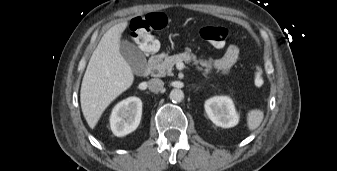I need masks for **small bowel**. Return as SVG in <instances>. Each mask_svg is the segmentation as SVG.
<instances>
[{
	"mask_svg": "<svg viewBox=\"0 0 337 171\" xmlns=\"http://www.w3.org/2000/svg\"><path fill=\"white\" fill-rule=\"evenodd\" d=\"M239 58V48L236 45H230L221 58L216 60L208 58L206 64L210 69H214L222 74H228Z\"/></svg>",
	"mask_w": 337,
	"mask_h": 171,
	"instance_id": "1",
	"label": "small bowel"
}]
</instances>
